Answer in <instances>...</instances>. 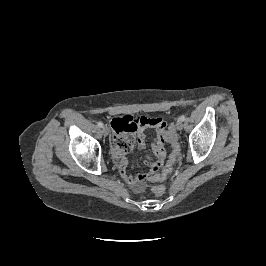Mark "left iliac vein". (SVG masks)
I'll return each instance as SVG.
<instances>
[{
    "instance_id": "4c4485c4",
    "label": "left iliac vein",
    "mask_w": 266,
    "mask_h": 266,
    "mask_svg": "<svg viewBox=\"0 0 266 266\" xmlns=\"http://www.w3.org/2000/svg\"><path fill=\"white\" fill-rule=\"evenodd\" d=\"M176 129L179 131L183 129V122L180 119L176 122Z\"/></svg>"
}]
</instances>
